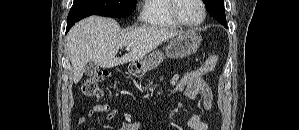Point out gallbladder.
I'll return each mask as SVG.
<instances>
[{
  "mask_svg": "<svg viewBox=\"0 0 299 130\" xmlns=\"http://www.w3.org/2000/svg\"><path fill=\"white\" fill-rule=\"evenodd\" d=\"M98 70H99V65L94 61H90L89 63L86 64L84 68V74L87 77H92L98 72Z\"/></svg>",
  "mask_w": 299,
  "mask_h": 130,
  "instance_id": "obj_1",
  "label": "gallbladder"
}]
</instances>
